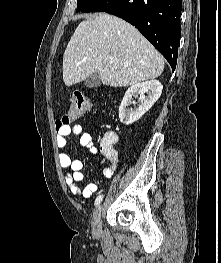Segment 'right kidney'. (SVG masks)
Wrapping results in <instances>:
<instances>
[{
	"instance_id": "right-kidney-1",
	"label": "right kidney",
	"mask_w": 221,
	"mask_h": 263,
	"mask_svg": "<svg viewBox=\"0 0 221 263\" xmlns=\"http://www.w3.org/2000/svg\"><path fill=\"white\" fill-rule=\"evenodd\" d=\"M163 85L158 80H150L137 83L129 87L126 91L121 105L119 107V119L125 125H131L139 120L159 99ZM145 93L147 96H145ZM140 105L132 110L128 106L131 104L133 97H138Z\"/></svg>"
}]
</instances>
